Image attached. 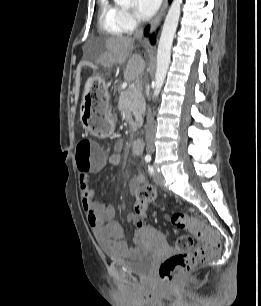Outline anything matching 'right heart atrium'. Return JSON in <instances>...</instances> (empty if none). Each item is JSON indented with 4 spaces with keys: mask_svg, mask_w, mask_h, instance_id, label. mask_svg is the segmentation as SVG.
I'll list each match as a JSON object with an SVG mask.
<instances>
[{
    "mask_svg": "<svg viewBox=\"0 0 261 306\" xmlns=\"http://www.w3.org/2000/svg\"><path fill=\"white\" fill-rule=\"evenodd\" d=\"M121 21L127 31L133 30L138 24L136 17L128 9L121 10Z\"/></svg>",
    "mask_w": 261,
    "mask_h": 306,
    "instance_id": "1",
    "label": "right heart atrium"
}]
</instances>
